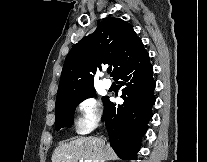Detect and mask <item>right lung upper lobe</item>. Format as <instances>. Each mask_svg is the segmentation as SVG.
Masks as SVG:
<instances>
[{
  "instance_id": "1",
  "label": "right lung upper lobe",
  "mask_w": 207,
  "mask_h": 162,
  "mask_svg": "<svg viewBox=\"0 0 207 162\" xmlns=\"http://www.w3.org/2000/svg\"><path fill=\"white\" fill-rule=\"evenodd\" d=\"M147 54L133 27L119 18H107L96 31L80 40L66 57L57 99L94 90L93 74L102 64L114 67L112 76Z\"/></svg>"
}]
</instances>
